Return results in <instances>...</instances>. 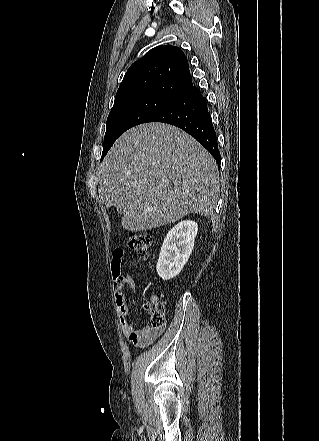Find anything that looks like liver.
<instances>
[{
  "instance_id": "liver-1",
  "label": "liver",
  "mask_w": 319,
  "mask_h": 441,
  "mask_svg": "<svg viewBox=\"0 0 319 441\" xmlns=\"http://www.w3.org/2000/svg\"><path fill=\"white\" fill-rule=\"evenodd\" d=\"M99 196L123 215L121 225L140 232L190 213L211 216L219 170L212 155L185 131L145 123L122 134L100 169Z\"/></svg>"
}]
</instances>
